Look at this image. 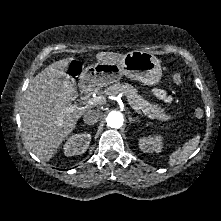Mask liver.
I'll list each match as a JSON object with an SVG mask.
<instances>
[{
    "label": "liver",
    "mask_w": 221,
    "mask_h": 221,
    "mask_svg": "<svg viewBox=\"0 0 221 221\" xmlns=\"http://www.w3.org/2000/svg\"><path fill=\"white\" fill-rule=\"evenodd\" d=\"M123 54L99 52L97 61L117 63ZM73 58L50 64L30 82L20 110L22 135L28 148L41 160H50L89 109H65L78 92L65 72Z\"/></svg>",
    "instance_id": "liver-1"
}]
</instances>
